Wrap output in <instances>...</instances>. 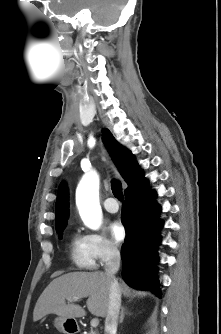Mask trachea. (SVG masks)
Returning a JSON list of instances; mask_svg holds the SVG:
<instances>
[{
    "label": "trachea",
    "mask_w": 221,
    "mask_h": 334,
    "mask_svg": "<svg viewBox=\"0 0 221 334\" xmlns=\"http://www.w3.org/2000/svg\"><path fill=\"white\" fill-rule=\"evenodd\" d=\"M111 188H112V192L114 194V196L119 199L122 200L123 199V192H122V185L119 181L113 179L112 183H111Z\"/></svg>",
    "instance_id": "3493384b"
}]
</instances>
